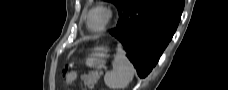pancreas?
Instances as JSON below:
<instances>
[{"label": "pancreas", "instance_id": "1", "mask_svg": "<svg viewBox=\"0 0 228 90\" xmlns=\"http://www.w3.org/2000/svg\"><path fill=\"white\" fill-rule=\"evenodd\" d=\"M99 76H92L85 80V84L92 89L94 84L98 81Z\"/></svg>", "mask_w": 228, "mask_h": 90}]
</instances>
